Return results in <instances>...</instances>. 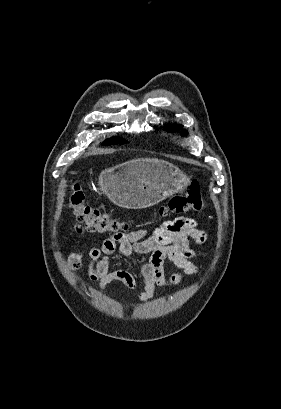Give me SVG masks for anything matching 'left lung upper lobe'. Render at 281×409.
<instances>
[{"label": "left lung upper lobe", "mask_w": 281, "mask_h": 409, "mask_svg": "<svg viewBox=\"0 0 281 409\" xmlns=\"http://www.w3.org/2000/svg\"><path fill=\"white\" fill-rule=\"evenodd\" d=\"M181 128H182V126H173V127H171V128H168V130L171 131V132H176V131L180 130ZM181 134H182L183 136H185V135L188 134V132H187L185 129H183V130L181 131Z\"/></svg>", "instance_id": "5c2ea615"}]
</instances>
